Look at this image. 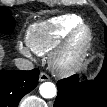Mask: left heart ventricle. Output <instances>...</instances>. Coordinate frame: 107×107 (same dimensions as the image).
I'll return each instance as SVG.
<instances>
[{
  "label": "left heart ventricle",
  "instance_id": "1",
  "mask_svg": "<svg viewBox=\"0 0 107 107\" xmlns=\"http://www.w3.org/2000/svg\"><path fill=\"white\" fill-rule=\"evenodd\" d=\"M84 35L81 34L79 37H78V42H80L82 39H83Z\"/></svg>",
  "mask_w": 107,
  "mask_h": 107
}]
</instances>
